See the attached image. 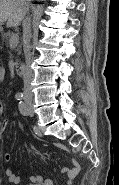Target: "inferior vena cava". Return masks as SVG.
Returning a JSON list of instances; mask_svg holds the SVG:
<instances>
[{"label":"inferior vena cava","instance_id":"602c4592","mask_svg":"<svg viewBox=\"0 0 119 185\" xmlns=\"http://www.w3.org/2000/svg\"><path fill=\"white\" fill-rule=\"evenodd\" d=\"M25 1V0H23ZM31 26H30V18H26V20L23 22V41H24V53H25V59H26V70L24 73L23 81H24V89H23V95L24 99L31 100L33 97L32 94V88H31V81L33 78V72L31 69V63H32V53H31Z\"/></svg>","mask_w":119,"mask_h":185}]
</instances>
